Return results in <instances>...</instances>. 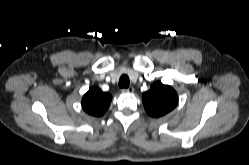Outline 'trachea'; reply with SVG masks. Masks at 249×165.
<instances>
[{
	"mask_svg": "<svg viewBox=\"0 0 249 165\" xmlns=\"http://www.w3.org/2000/svg\"><path fill=\"white\" fill-rule=\"evenodd\" d=\"M130 84L129 77L127 75H122L119 79L120 88H128Z\"/></svg>",
	"mask_w": 249,
	"mask_h": 165,
	"instance_id": "obj_1",
	"label": "trachea"
}]
</instances>
